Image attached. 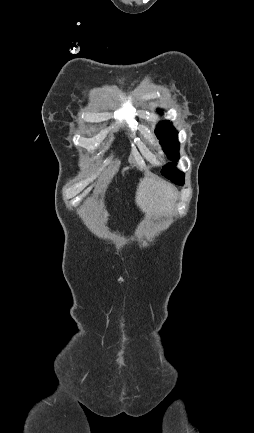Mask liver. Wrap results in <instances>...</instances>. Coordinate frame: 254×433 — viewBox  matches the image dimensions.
<instances>
[{"mask_svg": "<svg viewBox=\"0 0 254 433\" xmlns=\"http://www.w3.org/2000/svg\"><path fill=\"white\" fill-rule=\"evenodd\" d=\"M176 196L175 188L166 181L144 177L138 185L135 201L147 216L161 215L170 210Z\"/></svg>", "mask_w": 254, "mask_h": 433, "instance_id": "liver-1", "label": "liver"}]
</instances>
